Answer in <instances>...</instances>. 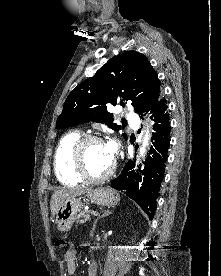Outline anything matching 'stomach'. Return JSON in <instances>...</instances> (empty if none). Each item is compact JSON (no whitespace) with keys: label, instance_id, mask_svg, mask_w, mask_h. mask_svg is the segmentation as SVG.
<instances>
[{"label":"stomach","instance_id":"1","mask_svg":"<svg viewBox=\"0 0 221 276\" xmlns=\"http://www.w3.org/2000/svg\"><path fill=\"white\" fill-rule=\"evenodd\" d=\"M89 201L101 206H114L120 197L117 192L110 188L99 187L87 193ZM81 198H69L61 203L56 214V224L58 230L67 232L71 229L76 215L82 209Z\"/></svg>","mask_w":221,"mask_h":276}]
</instances>
